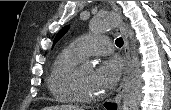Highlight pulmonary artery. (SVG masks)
Here are the masks:
<instances>
[{
	"instance_id": "obj_1",
	"label": "pulmonary artery",
	"mask_w": 171,
	"mask_h": 110,
	"mask_svg": "<svg viewBox=\"0 0 171 110\" xmlns=\"http://www.w3.org/2000/svg\"><path fill=\"white\" fill-rule=\"evenodd\" d=\"M72 45L83 57L92 54L107 55L112 51V44L109 38L100 34L79 37Z\"/></svg>"
}]
</instances>
